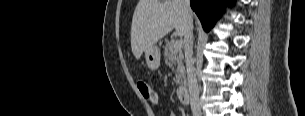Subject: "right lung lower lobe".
I'll list each match as a JSON object with an SVG mask.
<instances>
[{
    "label": "right lung lower lobe",
    "instance_id": "obj_1",
    "mask_svg": "<svg viewBox=\"0 0 305 116\" xmlns=\"http://www.w3.org/2000/svg\"><path fill=\"white\" fill-rule=\"evenodd\" d=\"M233 0H190L191 8L199 17L202 26L209 31L219 18L222 9Z\"/></svg>",
    "mask_w": 305,
    "mask_h": 116
}]
</instances>
